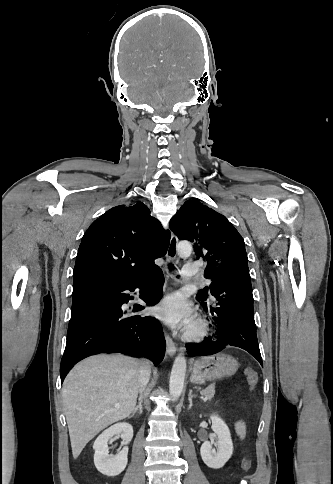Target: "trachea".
I'll list each match as a JSON object with an SVG mask.
<instances>
[{"mask_svg":"<svg viewBox=\"0 0 333 484\" xmlns=\"http://www.w3.org/2000/svg\"><path fill=\"white\" fill-rule=\"evenodd\" d=\"M169 269L174 271L175 268L172 264H169ZM177 277H179V275H177Z\"/></svg>","mask_w":333,"mask_h":484,"instance_id":"1","label":"trachea"}]
</instances>
